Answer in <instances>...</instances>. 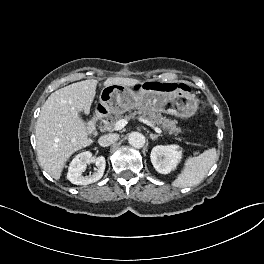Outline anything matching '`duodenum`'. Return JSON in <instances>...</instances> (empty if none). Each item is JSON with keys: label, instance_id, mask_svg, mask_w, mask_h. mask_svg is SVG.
<instances>
[{"label": "duodenum", "instance_id": "duodenum-1", "mask_svg": "<svg viewBox=\"0 0 264 264\" xmlns=\"http://www.w3.org/2000/svg\"><path fill=\"white\" fill-rule=\"evenodd\" d=\"M102 114L100 112H97L94 114V116L91 118V120L88 123V132L90 134H93L96 131L97 122L101 119Z\"/></svg>", "mask_w": 264, "mask_h": 264}]
</instances>
